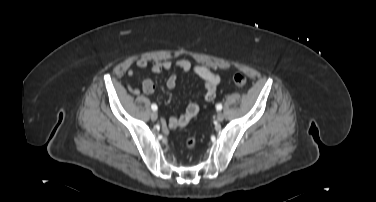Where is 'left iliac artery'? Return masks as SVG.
Here are the masks:
<instances>
[{"instance_id":"1","label":"left iliac artery","mask_w":376,"mask_h":202,"mask_svg":"<svg viewBox=\"0 0 376 202\" xmlns=\"http://www.w3.org/2000/svg\"><path fill=\"white\" fill-rule=\"evenodd\" d=\"M216 109H217V110H221V109H222V104H217V105H216Z\"/></svg>"}]
</instances>
